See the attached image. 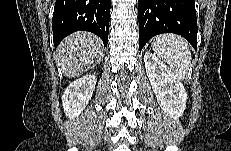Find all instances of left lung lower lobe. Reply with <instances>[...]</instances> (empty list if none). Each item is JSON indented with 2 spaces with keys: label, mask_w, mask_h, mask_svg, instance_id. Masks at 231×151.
<instances>
[{
  "label": "left lung lower lobe",
  "mask_w": 231,
  "mask_h": 151,
  "mask_svg": "<svg viewBox=\"0 0 231 151\" xmlns=\"http://www.w3.org/2000/svg\"><path fill=\"white\" fill-rule=\"evenodd\" d=\"M139 50L155 35L175 33L197 49L194 0H138Z\"/></svg>",
  "instance_id": "obj_1"
}]
</instances>
